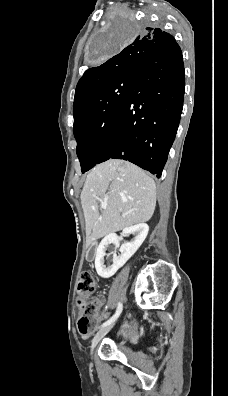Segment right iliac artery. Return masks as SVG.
<instances>
[{
    "mask_svg": "<svg viewBox=\"0 0 228 396\" xmlns=\"http://www.w3.org/2000/svg\"><path fill=\"white\" fill-rule=\"evenodd\" d=\"M121 311H122V303H119L118 306H117V310H116L115 314L109 320H107L105 323H103L101 325V327H105V326L110 325L111 323H113L119 317Z\"/></svg>",
    "mask_w": 228,
    "mask_h": 396,
    "instance_id": "1",
    "label": "right iliac artery"
}]
</instances>
